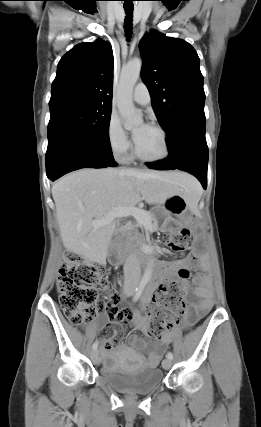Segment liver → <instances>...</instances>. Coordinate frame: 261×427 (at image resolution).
I'll return each instance as SVG.
<instances>
[{"label": "liver", "instance_id": "obj_1", "mask_svg": "<svg viewBox=\"0 0 261 427\" xmlns=\"http://www.w3.org/2000/svg\"><path fill=\"white\" fill-rule=\"evenodd\" d=\"M194 182L176 171L84 168L67 174L52 186L63 245L90 261L104 263L115 220L100 227L92 226L93 220L106 217L116 207H135L142 199L162 204L174 194H183L191 203L187 191Z\"/></svg>", "mask_w": 261, "mask_h": 427}]
</instances>
